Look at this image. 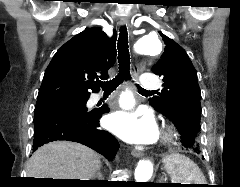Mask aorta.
Returning a JSON list of instances; mask_svg holds the SVG:
<instances>
[{
    "label": "aorta",
    "mask_w": 240,
    "mask_h": 187,
    "mask_svg": "<svg viewBox=\"0 0 240 187\" xmlns=\"http://www.w3.org/2000/svg\"><path fill=\"white\" fill-rule=\"evenodd\" d=\"M136 52L141 55H158L162 51V43L157 35L149 34L140 37L136 43ZM135 104L133 94L130 91L122 93L120 105L124 109H131ZM153 174V165L148 160H141L135 169L136 182H147Z\"/></svg>",
    "instance_id": "obj_1"
}]
</instances>
